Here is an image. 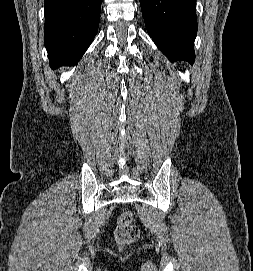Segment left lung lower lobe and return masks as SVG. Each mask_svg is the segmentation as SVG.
I'll return each mask as SVG.
<instances>
[{
  "label": "left lung lower lobe",
  "instance_id": "left-lung-lower-lobe-1",
  "mask_svg": "<svg viewBox=\"0 0 253 271\" xmlns=\"http://www.w3.org/2000/svg\"><path fill=\"white\" fill-rule=\"evenodd\" d=\"M196 0H140L148 34L170 61L195 59Z\"/></svg>",
  "mask_w": 253,
  "mask_h": 271
}]
</instances>
